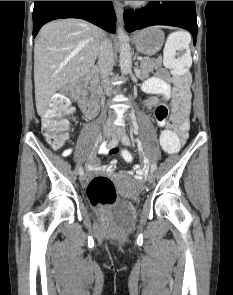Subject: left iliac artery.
<instances>
[{"mask_svg":"<svg viewBox=\"0 0 233 295\" xmlns=\"http://www.w3.org/2000/svg\"><path fill=\"white\" fill-rule=\"evenodd\" d=\"M136 128H137V127H136ZM122 142H123V144H125V145H129L130 140H129L128 135H125V136L123 137ZM155 168H156V165H155V164H152V165H151V172H153Z\"/></svg>","mask_w":233,"mask_h":295,"instance_id":"obj_1","label":"left iliac artery"}]
</instances>
